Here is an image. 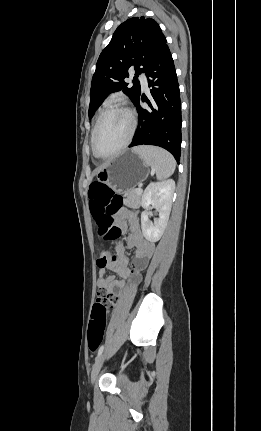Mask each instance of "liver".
Segmentation results:
<instances>
[{"label": "liver", "instance_id": "6515ba94", "mask_svg": "<svg viewBox=\"0 0 261 431\" xmlns=\"http://www.w3.org/2000/svg\"><path fill=\"white\" fill-rule=\"evenodd\" d=\"M106 164H107V163H106ZM106 164H105V165H106ZM105 165H103L102 167H104ZM102 167H101V168H102ZM101 168H100V169H101Z\"/></svg>", "mask_w": 261, "mask_h": 431}]
</instances>
